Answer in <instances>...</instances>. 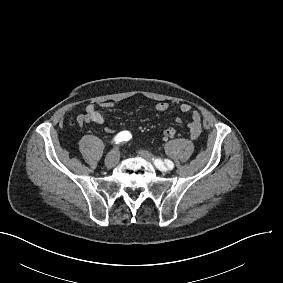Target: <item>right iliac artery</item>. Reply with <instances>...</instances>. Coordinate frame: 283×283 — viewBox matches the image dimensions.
<instances>
[{"instance_id": "82829eb1", "label": "right iliac artery", "mask_w": 283, "mask_h": 283, "mask_svg": "<svg viewBox=\"0 0 283 283\" xmlns=\"http://www.w3.org/2000/svg\"><path fill=\"white\" fill-rule=\"evenodd\" d=\"M132 138V135L129 131H122L117 134V136L114 138L115 144H119L124 141H128Z\"/></svg>"}]
</instances>
